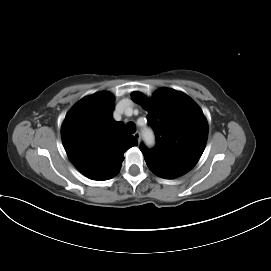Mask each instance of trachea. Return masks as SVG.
<instances>
[{"label": "trachea", "instance_id": "3493384b", "mask_svg": "<svg viewBox=\"0 0 271 271\" xmlns=\"http://www.w3.org/2000/svg\"><path fill=\"white\" fill-rule=\"evenodd\" d=\"M135 129H136V127H135V124L133 122L126 123L125 130H126L127 133L133 134L135 132Z\"/></svg>", "mask_w": 271, "mask_h": 271}]
</instances>
